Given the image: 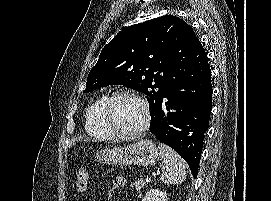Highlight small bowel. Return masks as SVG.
<instances>
[{
	"mask_svg": "<svg viewBox=\"0 0 271 201\" xmlns=\"http://www.w3.org/2000/svg\"><path fill=\"white\" fill-rule=\"evenodd\" d=\"M114 187L116 188H124L126 186V179L124 177H115L112 181Z\"/></svg>",
	"mask_w": 271,
	"mask_h": 201,
	"instance_id": "1",
	"label": "small bowel"
}]
</instances>
